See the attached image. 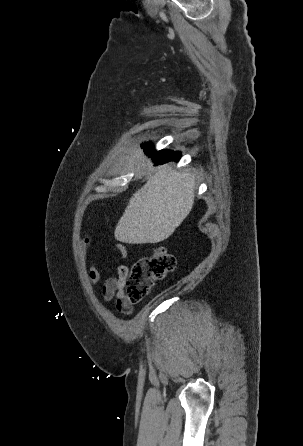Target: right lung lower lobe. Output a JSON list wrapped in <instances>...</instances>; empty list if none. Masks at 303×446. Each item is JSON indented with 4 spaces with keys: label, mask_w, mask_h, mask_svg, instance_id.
Instances as JSON below:
<instances>
[{
    "label": "right lung lower lobe",
    "mask_w": 303,
    "mask_h": 446,
    "mask_svg": "<svg viewBox=\"0 0 303 446\" xmlns=\"http://www.w3.org/2000/svg\"><path fill=\"white\" fill-rule=\"evenodd\" d=\"M143 147L146 148V151H151L154 153L153 160L155 162V165L164 164L172 160L178 161L181 156L180 153L169 150L155 151L154 148L151 146V143H145Z\"/></svg>",
    "instance_id": "obj_1"
}]
</instances>
